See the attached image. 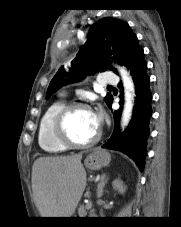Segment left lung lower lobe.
<instances>
[{
	"label": "left lung lower lobe",
	"mask_w": 181,
	"mask_h": 227,
	"mask_svg": "<svg viewBox=\"0 0 181 227\" xmlns=\"http://www.w3.org/2000/svg\"><path fill=\"white\" fill-rule=\"evenodd\" d=\"M125 65L130 69L136 89V100L131 122L125 133L120 134L119 119L121 110L114 111V131L110 139L102 146L119 150L132 158L140 170H143L146 156V144L149 137V121L151 117L152 94L150 80L147 75V66L143 49L135 45L126 59ZM122 92V86L119 85ZM113 101V100H112ZM111 103L108 105L111 107ZM122 105L123 100H121Z\"/></svg>",
	"instance_id": "1"
}]
</instances>
